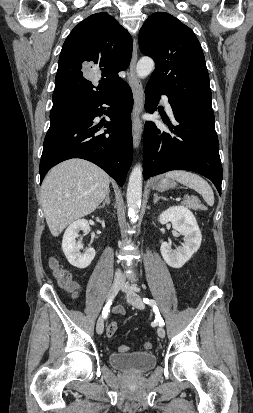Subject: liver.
<instances>
[{"label": "liver", "instance_id": "liver-1", "mask_svg": "<svg viewBox=\"0 0 253 413\" xmlns=\"http://www.w3.org/2000/svg\"><path fill=\"white\" fill-rule=\"evenodd\" d=\"M110 178L95 164L70 159L53 167L41 186L49 230L57 237L69 224L91 214L105 199Z\"/></svg>", "mask_w": 253, "mask_h": 413}]
</instances>
